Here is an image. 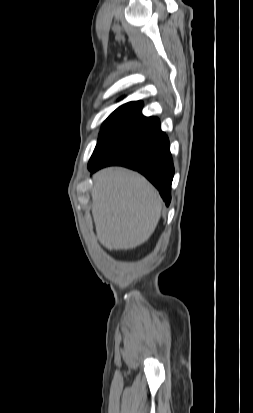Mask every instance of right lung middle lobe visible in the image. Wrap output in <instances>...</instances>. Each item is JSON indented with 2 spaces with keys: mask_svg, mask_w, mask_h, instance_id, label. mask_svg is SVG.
Masks as SVG:
<instances>
[{
  "mask_svg": "<svg viewBox=\"0 0 253 413\" xmlns=\"http://www.w3.org/2000/svg\"><path fill=\"white\" fill-rule=\"evenodd\" d=\"M158 126H160L159 120L154 117H144L132 112H113L102 125L88 168L146 136Z\"/></svg>",
  "mask_w": 253,
  "mask_h": 413,
  "instance_id": "1",
  "label": "right lung middle lobe"
}]
</instances>
